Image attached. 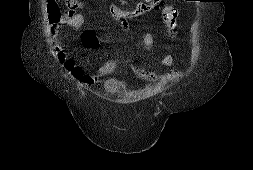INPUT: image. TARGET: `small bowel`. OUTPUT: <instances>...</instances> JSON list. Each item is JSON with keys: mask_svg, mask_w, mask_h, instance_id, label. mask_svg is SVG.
<instances>
[{"mask_svg": "<svg viewBox=\"0 0 253 170\" xmlns=\"http://www.w3.org/2000/svg\"><path fill=\"white\" fill-rule=\"evenodd\" d=\"M154 10H159L162 13V19L164 24L171 30L176 27L177 20L172 19L174 13L177 14L176 9L168 6L163 0H144L136 4L130 10H124L120 6L112 5L110 7V15L113 20L118 22L124 30H128L130 27L129 18L139 17L146 15ZM87 24V17L83 14H74L73 16H64L58 23H55L51 27V35L54 39L55 49L57 51V56L64 69L76 79L79 83L85 86H92L96 84L103 76L113 72L117 63L115 61H107L100 67H98L93 73H87V68L85 65L78 64L74 59L69 57L67 52H65L60 45L61 28L63 26H70L76 30L80 31L79 39L80 41L93 48L97 45V38L95 34L84 29ZM154 45V35L150 32L146 33L139 41V48L148 49ZM173 57L169 54H165L161 58V64L165 67H170L173 65ZM132 70L135 75L146 81L151 82H170L174 81L181 76L179 70L173 69L167 73H156L152 71H147L141 66L133 65Z\"/></svg>", "mask_w": 253, "mask_h": 170, "instance_id": "obj_1", "label": "small bowel"}]
</instances>
